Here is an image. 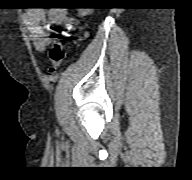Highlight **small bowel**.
<instances>
[{
	"label": "small bowel",
	"instance_id": "obj_1",
	"mask_svg": "<svg viewBox=\"0 0 192 180\" xmlns=\"http://www.w3.org/2000/svg\"><path fill=\"white\" fill-rule=\"evenodd\" d=\"M79 13L84 16L88 11L87 9H82ZM23 22L27 27L33 47L37 51L43 52L50 43L47 31L61 25L71 30L78 23V20L68 16L67 11L63 8H52L50 10L38 8L25 11Z\"/></svg>",
	"mask_w": 192,
	"mask_h": 180
}]
</instances>
